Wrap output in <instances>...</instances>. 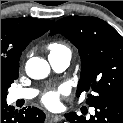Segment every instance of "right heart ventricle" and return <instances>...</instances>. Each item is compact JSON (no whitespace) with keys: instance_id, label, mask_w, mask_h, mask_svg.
I'll return each mask as SVG.
<instances>
[{"instance_id":"e07e8e85","label":"right heart ventricle","mask_w":123,"mask_h":123,"mask_svg":"<svg viewBox=\"0 0 123 123\" xmlns=\"http://www.w3.org/2000/svg\"><path fill=\"white\" fill-rule=\"evenodd\" d=\"M48 49L50 51V54H59V53H63V52H69L70 53V50L67 46H65L62 43H58V42L51 43L48 46Z\"/></svg>"}]
</instances>
